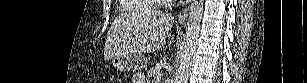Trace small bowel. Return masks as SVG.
Returning <instances> with one entry per match:
<instances>
[{
	"label": "small bowel",
	"instance_id": "obj_1",
	"mask_svg": "<svg viewBox=\"0 0 307 83\" xmlns=\"http://www.w3.org/2000/svg\"><path fill=\"white\" fill-rule=\"evenodd\" d=\"M134 83H144V81L138 78L134 81Z\"/></svg>",
	"mask_w": 307,
	"mask_h": 83
}]
</instances>
